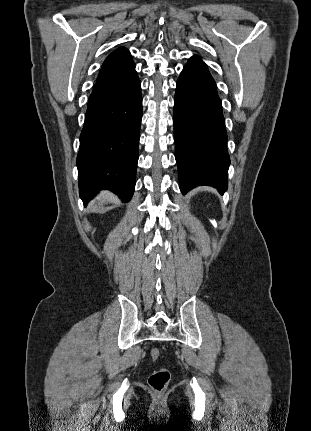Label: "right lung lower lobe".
<instances>
[{
    "mask_svg": "<svg viewBox=\"0 0 311 431\" xmlns=\"http://www.w3.org/2000/svg\"><path fill=\"white\" fill-rule=\"evenodd\" d=\"M142 119L135 65L96 82L88 101L77 156L80 197L86 204L108 188L128 202L134 192Z\"/></svg>",
    "mask_w": 311,
    "mask_h": 431,
    "instance_id": "right-lung-lower-lobe-1",
    "label": "right lung lower lobe"
}]
</instances>
